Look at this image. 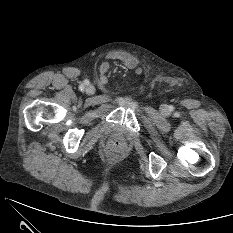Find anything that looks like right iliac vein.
<instances>
[{
    "label": "right iliac vein",
    "mask_w": 233,
    "mask_h": 233,
    "mask_svg": "<svg viewBox=\"0 0 233 233\" xmlns=\"http://www.w3.org/2000/svg\"><path fill=\"white\" fill-rule=\"evenodd\" d=\"M86 93L89 95H92L95 93V87L93 85H88L86 87Z\"/></svg>",
    "instance_id": "63e3f726"
}]
</instances>
